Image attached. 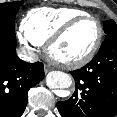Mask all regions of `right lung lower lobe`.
Here are the masks:
<instances>
[{
    "label": "right lung lower lobe",
    "instance_id": "1",
    "mask_svg": "<svg viewBox=\"0 0 117 117\" xmlns=\"http://www.w3.org/2000/svg\"><path fill=\"white\" fill-rule=\"evenodd\" d=\"M43 77V63H27L16 55L14 23L0 22V117H20L29 89Z\"/></svg>",
    "mask_w": 117,
    "mask_h": 117
}]
</instances>
